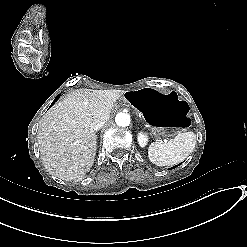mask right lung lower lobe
Here are the masks:
<instances>
[{"mask_svg":"<svg viewBox=\"0 0 247 247\" xmlns=\"http://www.w3.org/2000/svg\"><path fill=\"white\" fill-rule=\"evenodd\" d=\"M59 96H60V95H58V96L54 99V101L52 102L51 106L54 105V103L58 100ZM51 106H50V107H51Z\"/></svg>","mask_w":247,"mask_h":247,"instance_id":"1","label":"right lung lower lobe"}]
</instances>
